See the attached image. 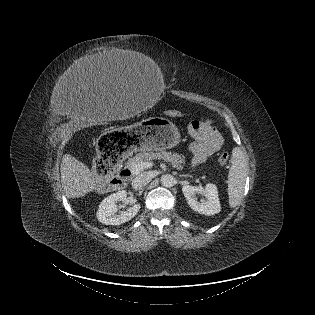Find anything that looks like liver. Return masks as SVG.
Returning <instances> with one entry per match:
<instances>
[{
  "label": "liver",
  "mask_w": 315,
  "mask_h": 315,
  "mask_svg": "<svg viewBox=\"0 0 315 315\" xmlns=\"http://www.w3.org/2000/svg\"><path fill=\"white\" fill-rule=\"evenodd\" d=\"M124 55L125 51L92 55L80 62L77 69L82 73L91 74H96L100 71L111 72L119 68V61ZM126 117L128 115L125 109L123 118ZM60 172L63 190L68 198L84 197L96 190L99 183L97 174L70 154L63 155Z\"/></svg>",
  "instance_id": "1"
}]
</instances>
